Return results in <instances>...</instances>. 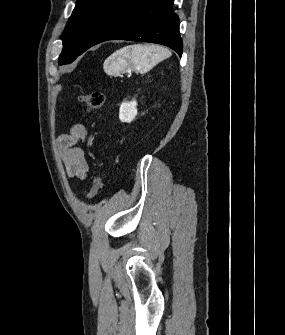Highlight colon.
<instances>
[{"label": "colon", "instance_id": "colon-1", "mask_svg": "<svg viewBox=\"0 0 285 335\" xmlns=\"http://www.w3.org/2000/svg\"><path fill=\"white\" fill-rule=\"evenodd\" d=\"M78 100L85 104L89 113L100 110L105 103V95L101 92L82 93L78 96ZM102 181L97 173L92 175L91 189L88 194L89 200H94L102 189Z\"/></svg>", "mask_w": 285, "mask_h": 335}]
</instances>
